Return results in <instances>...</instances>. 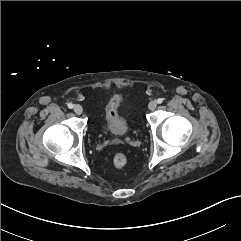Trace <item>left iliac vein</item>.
<instances>
[{
    "instance_id": "left-iliac-vein-1",
    "label": "left iliac vein",
    "mask_w": 241,
    "mask_h": 241,
    "mask_svg": "<svg viewBox=\"0 0 241 241\" xmlns=\"http://www.w3.org/2000/svg\"><path fill=\"white\" fill-rule=\"evenodd\" d=\"M148 107H149L150 110H155L156 107H157L156 101H151V102L149 103Z\"/></svg>"
}]
</instances>
